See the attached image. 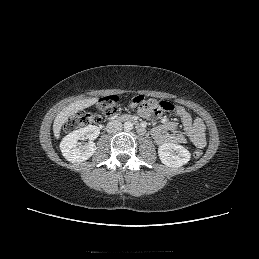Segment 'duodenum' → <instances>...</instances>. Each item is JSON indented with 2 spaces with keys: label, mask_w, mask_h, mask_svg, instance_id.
<instances>
[{
  "label": "duodenum",
  "mask_w": 259,
  "mask_h": 259,
  "mask_svg": "<svg viewBox=\"0 0 259 259\" xmlns=\"http://www.w3.org/2000/svg\"><path fill=\"white\" fill-rule=\"evenodd\" d=\"M113 120L134 123L136 125V129H137L138 133L144 134V132H145V129L138 123L137 119L133 115L124 114L117 118H113Z\"/></svg>",
  "instance_id": "duodenum-1"
}]
</instances>
